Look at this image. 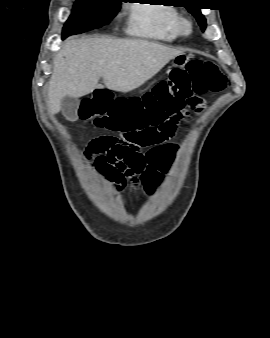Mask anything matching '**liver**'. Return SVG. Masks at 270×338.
Instances as JSON below:
<instances>
[{
  "mask_svg": "<svg viewBox=\"0 0 270 338\" xmlns=\"http://www.w3.org/2000/svg\"><path fill=\"white\" fill-rule=\"evenodd\" d=\"M181 53L142 39H69L54 58L48 110L57 114L62 98H79L102 88L100 77L109 90L132 91Z\"/></svg>",
  "mask_w": 270,
  "mask_h": 338,
  "instance_id": "obj_1",
  "label": "liver"
}]
</instances>
